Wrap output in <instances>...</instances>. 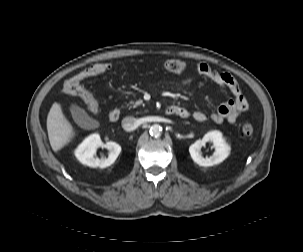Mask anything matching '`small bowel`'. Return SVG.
I'll use <instances>...</instances> for the list:
<instances>
[{
  "label": "small bowel",
  "instance_id": "c3829d8e",
  "mask_svg": "<svg viewBox=\"0 0 303 252\" xmlns=\"http://www.w3.org/2000/svg\"><path fill=\"white\" fill-rule=\"evenodd\" d=\"M194 70L195 73L193 75L182 79V85L188 86L200 78H207L218 85L224 86L229 91L232 98L221 104L214 112H212L210 114V118L217 123L224 121L234 123L246 108V99L237 82L230 75L214 71L205 63L197 64ZM178 108L182 113L180 116L190 115L186 108ZM192 117L198 122H203L207 120L208 115L202 111H195L192 113Z\"/></svg>",
  "mask_w": 303,
  "mask_h": 252
}]
</instances>
